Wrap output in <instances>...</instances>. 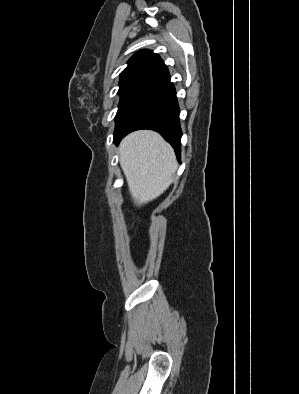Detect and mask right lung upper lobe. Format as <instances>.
<instances>
[{
	"label": "right lung upper lobe",
	"instance_id": "right-lung-upper-lobe-1",
	"mask_svg": "<svg viewBox=\"0 0 299 394\" xmlns=\"http://www.w3.org/2000/svg\"><path fill=\"white\" fill-rule=\"evenodd\" d=\"M169 76L162 59L150 50L135 53L120 74V87L137 86L147 89Z\"/></svg>",
	"mask_w": 299,
	"mask_h": 394
}]
</instances>
